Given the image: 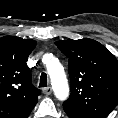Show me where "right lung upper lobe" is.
I'll list each match as a JSON object with an SVG mask.
<instances>
[{"instance_id":"right-lung-upper-lobe-1","label":"right lung upper lobe","mask_w":118,"mask_h":118,"mask_svg":"<svg viewBox=\"0 0 118 118\" xmlns=\"http://www.w3.org/2000/svg\"><path fill=\"white\" fill-rule=\"evenodd\" d=\"M35 46L31 39L0 38V118H27L38 101L26 64Z\"/></svg>"}]
</instances>
